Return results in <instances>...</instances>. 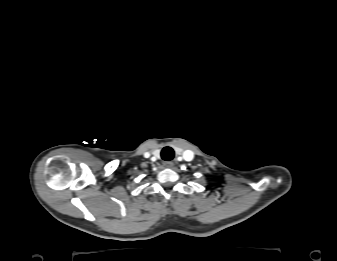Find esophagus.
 Here are the masks:
<instances>
[{
	"label": "esophagus",
	"mask_w": 337,
	"mask_h": 261,
	"mask_svg": "<svg viewBox=\"0 0 337 261\" xmlns=\"http://www.w3.org/2000/svg\"><path fill=\"white\" fill-rule=\"evenodd\" d=\"M164 166L167 168H171L173 166V162L172 161H166L164 162Z\"/></svg>",
	"instance_id": "esophagus-1"
}]
</instances>
